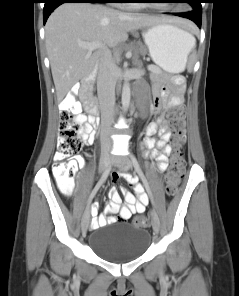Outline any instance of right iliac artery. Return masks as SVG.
<instances>
[{"instance_id":"82829eb1","label":"right iliac artery","mask_w":239,"mask_h":296,"mask_svg":"<svg viewBox=\"0 0 239 296\" xmlns=\"http://www.w3.org/2000/svg\"><path fill=\"white\" fill-rule=\"evenodd\" d=\"M111 171V166H109L105 171L104 173L102 174L99 182L96 184V186L94 187V189L92 190L91 192V195H90V199H87V202H85V206H84V211H87L88 208H89V204H91V200L93 198H96V193L97 191L99 190L100 186L105 182V180L107 179L108 177V174L109 172Z\"/></svg>"}]
</instances>
